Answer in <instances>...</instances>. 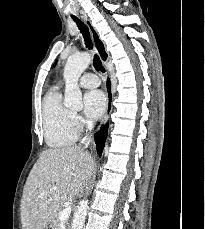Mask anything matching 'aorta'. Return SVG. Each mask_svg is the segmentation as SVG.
<instances>
[{"instance_id":"aorta-1","label":"aorta","mask_w":205,"mask_h":229,"mask_svg":"<svg viewBox=\"0 0 205 229\" xmlns=\"http://www.w3.org/2000/svg\"><path fill=\"white\" fill-rule=\"evenodd\" d=\"M91 62V55L89 53H81L72 55L68 58L64 68L65 80V94L64 105L67 108L80 110L82 104V92L78 85V80L83 71ZM88 208V199H83L77 211L75 212L71 229H82L84 226Z\"/></svg>"}]
</instances>
